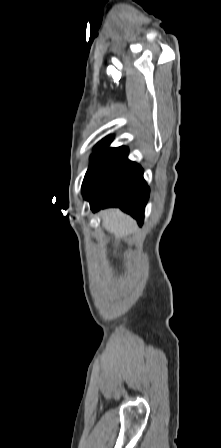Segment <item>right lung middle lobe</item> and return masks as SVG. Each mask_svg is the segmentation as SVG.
Wrapping results in <instances>:
<instances>
[{
    "mask_svg": "<svg viewBox=\"0 0 221 448\" xmlns=\"http://www.w3.org/2000/svg\"><path fill=\"white\" fill-rule=\"evenodd\" d=\"M113 149L107 148H94V153L91 156L92 162L89 165V168L86 172V175L83 180L82 187L87 183L93 172L96 168L101 164V162L105 159V157L112 151Z\"/></svg>",
    "mask_w": 221,
    "mask_h": 448,
    "instance_id": "right-lung-middle-lobe-1",
    "label": "right lung middle lobe"
}]
</instances>
